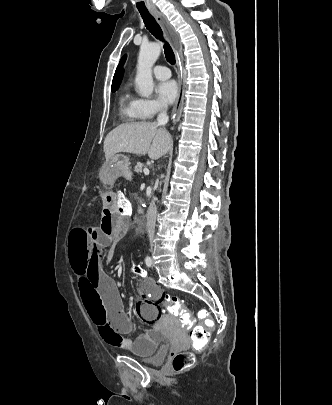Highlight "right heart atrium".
<instances>
[{
    "label": "right heart atrium",
    "instance_id": "1",
    "mask_svg": "<svg viewBox=\"0 0 332 405\" xmlns=\"http://www.w3.org/2000/svg\"><path fill=\"white\" fill-rule=\"evenodd\" d=\"M165 105L157 100H141V111L145 118H151L163 110Z\"/></svg>",
    "mask_w": 332,
    "mask_h": 405
}]
</instances>
